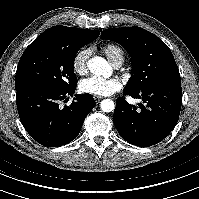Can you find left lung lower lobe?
Here are the masks:
<instances>
[{"label":"left lung lower lobe","mask_w":199,"mask_h":199,"mask_svg":"<svg viewBox=\"0 0 199 199\" xmlns=\"http://www.w3.org/2000/svg\"><path fill=\"white\" fill-rule=\"evenodd\" d=\"M124 94L142 99L137 109L124 98L116 100L113 122L120 136L128 143L149 147L162 141L176 125L182 103L180 80L157 83L139 92Z\"/></svg>","instance_id":"obj_1"}]
</instances>
